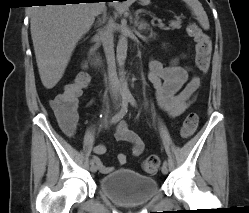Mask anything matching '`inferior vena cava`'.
Returning a JSON list of instances; mask_svg holds the SVG:
<instances>
[{"label": "inferior vena cava", "instance_id": "inferior-vena-cava-1", "mask_svg": "<svg viewBox=\"0 0 249 213\" xmlns=\"http://www.w3.org/2000/svg\"><path fill=\"white\" fill-rule=\"evenodd\" d=\"M113 23H109L103 29V48L108 65V78L110 82V88L112 91H119L120 85L116 73L115 53H114V41H113Z\"/></svg>", "mask_w": 249, "mask_h": 213}]
</instances>
